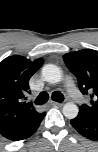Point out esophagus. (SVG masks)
Returning a JSON list of instances; mask_svg holds the SVG:
<instances>
[{"instance_id":"34e87169","label":"esophagus","mask_w":98,"mask_h":152,"mask_svg":"<svg viewBox=\"0 0 98 152\" xmlns=\"http://www.w3.org/2000/svg\"><path fill=\"white\" fill-rule=\"evenodd\" d=\"M49 105L54 106V107H61L63 105V103L50 101Z\"/></svg>"}]
</instances>
